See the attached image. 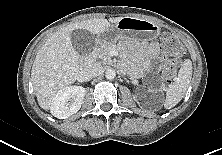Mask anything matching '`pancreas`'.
<instances>
[{
	"instance_id": "1",
	"label": "pancreas",
	"mask_w": 222,
	"mask_h": 155,
	"mask_svg": "<svg viewBox=\"0 0 222 155\" xmlns=\"http://www.w3.org/2000/svg\"><path fill=\"white\" fill-rule=\"evenodd\" d=\"M114 49H116L115 45L96 49L93 52V57L100 59L103 64H112V59H111V56L109 55V53ZM137 72H138V69L136 66H132L129 70V74L131 76L136 75Z\"/></svg>"
}]
</instances>
